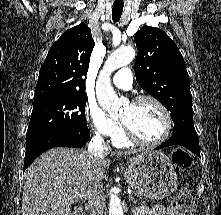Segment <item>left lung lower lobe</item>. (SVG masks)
<instances>
[{
    "label": "left lung lower lobe",
    "mask_w": 221,
    "mask_h": 215,
    "mask_svg": "<svg viewBox=\"0 0 221 215\" xmlns=\"http://www.w3.org/2000/svg\"><path fill=\"white\" fill-rule=\"evenodd\" d=\"M170 145H181L200 156L199 140L195 130L176 131L165 143L156 149H161Z\"/></svg>",
    "instance_id": "0a47b994"
}]
</instances>
